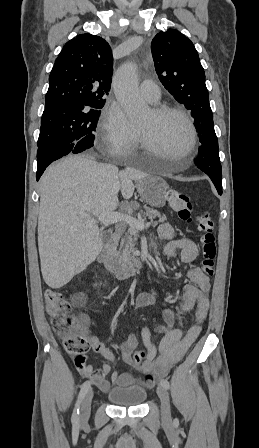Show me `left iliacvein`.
<instances>
[{"mask_svg": "<svg viewBox=\"0 0 259 448\" xmlns=\"http://www.w3.org/2000/svg\"><path fill=\"white\" fill-rule=\"evenodd\" d=\"M157 394L161 401V413L162 419L165 422H170L171 413H170V401L167 390L162 386L157 387Z\"/></svg>", "mask_w": 259, "mask_h": 448, "instance_id": "1", "label": "left iliac vein"}]
</instances>
